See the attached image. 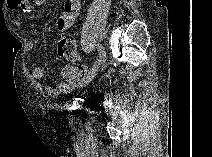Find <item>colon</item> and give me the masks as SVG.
<instances>
[{
    "instance_id": "5ec220e1",
    "label": "colon",
    "mask_w": 212,
    "mask_h": 157,
    "mask_svg": "<svg viewBox=\"0 0 212 157\" xmlns=\"http://www.w3.org/2000/svg\"><path fill=\"white\" fill-rule=\"evenodd\" d=\"M57 54L66 62L74 63L76 75L83 78L87 73L86 67L80 65V54L78 52L77 44L73 36L63 35L57 43Z\"/></svg>"
}]
</instances>
